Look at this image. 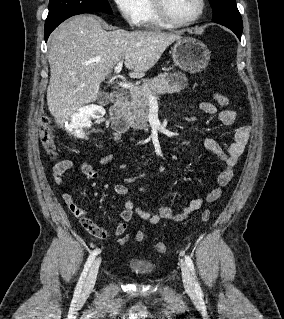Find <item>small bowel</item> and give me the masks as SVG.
I'll return each instance as SVG.
<instances>
[{"instance_id":"c3829d8e","label":"small bowel","mask_w":284,"mask_h":319,"mask_svg":"<svg viewBox=\"0 0 284 319\" xmlns=\"http://www.w3.org/2000/svg\"><path fill=\"white\" fill-rule=\"evenodd\" d=\"M199 109L208 115H217L220 122L225 126L234 124L236 120V113L232 110H221L211 102H202L199 105ZM250 134V128L248 126H241L234 132L233 141L228 146L227 150H223L222 147L213 139H206L204 146L207 150L216 154L221 158L224 163L222 170L217 177L216 186L205 196H200L193 199L187 206L179 209H175L168 206H161L156 212L145 211L139 207H136L134 203L127 200L128 188L125 185H116L115 192L122 198L123 210L121 211V222L118 224L115 230L117 236L122 235L126 229L128 222L132 219L133 215H138L141 219L149 222L152 225L158 224L162 219H169L172 221H182L189 217L192 213L197 211L204 202L216 201L222 193V189L230 182L234 175V168L243 154L246 145L248 143ZM115 140H118V135H115ZM111 157V154H105L103 159L107 161ZM73 166L72 160L64 158L53 166L52 173L55 182L60 185L62 184V175ZM80 169L84 176L89 180H98L99 174L93 169L91 164L87 160L80 162ZM142 193L147 192L145 186L140 188ZM62 199L70 212L79 219L83 228L92 236L99 240H107L110 237V233L95 224L89 217L88 212L76 205L72 196L69 193H64Z\"/></svg>"}]
</instances>
